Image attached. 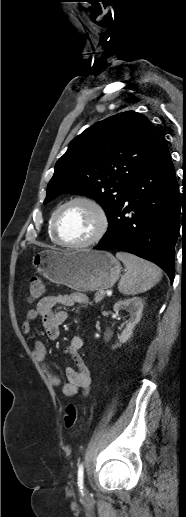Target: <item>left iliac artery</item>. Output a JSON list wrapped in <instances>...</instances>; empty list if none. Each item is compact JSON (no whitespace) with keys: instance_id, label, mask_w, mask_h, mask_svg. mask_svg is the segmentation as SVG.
I'll return each mask as SVG.
<instances>
[{"instance_id":"1","label":"left iliac artery","mask_w":186,"mask_h":517,"mask_svg":"<svg viewBox=\"0 0 186 517\" xmlns=\"http://www.w3.org/2000/svg\"><path fill=\"white\" fill-rule=\"evenodd\" d=\"M78 486L80 487V489H83V478H84V467H83V464H80L79 465V468H78Z\"/></svg>"}]
</instances>
